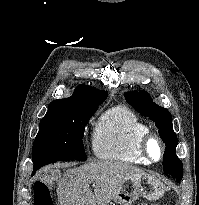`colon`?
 I'll list each match as a JSON object with an SVG mask.
<instances>
[{"instance_id":"obj_1","label":"colon","mask_w":199,"mask_h":205,"mask_svg":"<svg viewBox=\"0 0 199 205\" xmlns=\"http://www.w3.org/2000/svg\"><path fill=\"white\" fill-rule=\"evenodd\" d=\"M34 205H53L49 188L43 183H37L35 187Z\"/></svg>"}]
</instances>
